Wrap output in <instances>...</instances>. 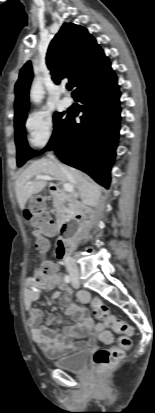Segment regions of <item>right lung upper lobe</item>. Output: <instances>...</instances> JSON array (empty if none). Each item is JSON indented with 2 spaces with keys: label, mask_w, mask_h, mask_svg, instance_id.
Returning <instances> with one entry per match:
<instances>
[{
  "label": "right lung upper lobe",
  "mask_w": 155,
  "mask_h": 413,
  "mask_svg": "<svg viewBox=\"0 0 155 413\" xmlns=\"http://www.w3.org/2000/svg\"><path fill=\"white\" fill-rule=\"evenodd\" d=\"M46 63L56 84L65 77L69 79L74 86L72 96L81 86L110 68L109 59L95 38L85 28L73 23H64L53 38ZM32 78V66L27 62L20 70L15 84V122L27 116Z\"/></svg>",
  "instance_id": "right-lung-upper-lobe-1"
}]
</instances>
